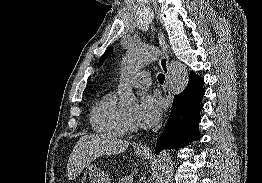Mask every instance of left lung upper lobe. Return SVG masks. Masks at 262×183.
I'll list each match as a JSON object with an SVG mask.
<instances>
[{
	"mask_svg": "<svg viewBox=\"0 0 262 183\" xmlns=\"http://www.w3.org/2000/svg\"><path fill=\"white\" fill-rule=\"evenodd\" d=\"M112 50H113V47L106 50V52L103 54V56L99 60L98 67H100L102 65L103 61L108 57V54H110L112 52Z\"/></svg>",
	"mask_w": 262,
	"mask_h": 183,
	"instance_id": "5c2ea615",
	"label": "left lung upper lobe"
}]
</instances>
